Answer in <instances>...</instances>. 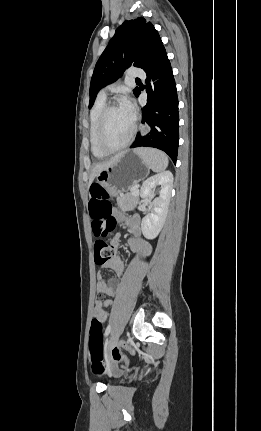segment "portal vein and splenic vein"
I'll return each instance as SVG.
<instances>
[{"mask_svg":"<svg viewBox=\"0 0 261 431\" xmlns=\"http://www.w3.org/2000/svg\"><path fill=\"white\" fill-rule=\"evenodd\" d=\"M139 193V190L137 189V188H135L133 191H132V194L133 195H137Z\"/></svg>","mask_w":261,"mask_h":431,"instance_id":"obj_1","label":"portal vein and splenic vein"}]
</instances>
